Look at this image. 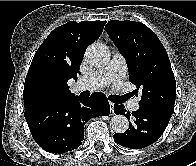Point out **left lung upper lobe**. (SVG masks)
Returning <instances> with one entry per match:
<instances>
[{"instance_id":"left-lung-upper-lobe-1","label":"left lung upper lobe","mask_w":196,"mask_h":166,"mask_svg":"<svg viewBox=\"0 0 196 166\" xmlns=\"http://www.w3.org/2000/svg\"><path fill=\"white\" fill-rule=\"evenodd\" d=\"M105 30L125 57L129 80L142 92L140 107L173 113L176 81L159 38L141 22L111 20Z\"/></svg>"}]
</instances>
